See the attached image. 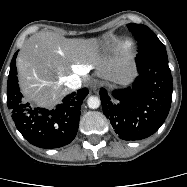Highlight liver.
I'll list each match as a JSON object with an SVG mask.
<instances>
[{
	"label": "liver",
	"instance_id": "6515ba94",
	"mask_svg": "<svg viewBox=\"0 0 187 187\" xmlns=\"http://www.w3.org/2000/svg\"><path fill=\"white\" fill-rule=\"evenodd\" d=\"M96 40L66 39L51 32H38L25 41L17 57L21 92L26 101L51 109L70 90L67 77L88 72L97 60ZM131 57L116 53L96 67L98 77L123 84L131 75Z\"/></svg>",
	"mask_w": 187,
	"mask_h": 187
}]
</instances>
